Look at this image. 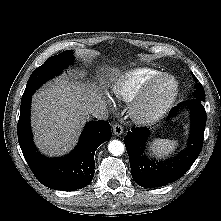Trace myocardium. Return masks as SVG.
I'll return each instance as SVG.
<instances>
[{
  "label": "myocardium",
  "mask_w": 221,
  "mask_h": 221,
  "mask_svg": "<svg viewBox=\"0 0 221 221\" xmlns=\"http://www.w3.org/2000/svg\"><path fill=\"white\" fill-rule=\"evenodd\" d=\"M163 82L171 85L164 99L152 103L151 96L157 86ZM179 92L177 79L168 73H161L149 80L136 95L130 105V115L138 124H149L161 118L173 105Z\"/></svg>",
  "instance_id": "myocardium-1"
}]
</instances>
